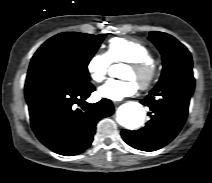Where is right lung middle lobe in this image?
<instances>
[{"label":"right lung middle lobe","mask_w":212,"mask_h":183,"mask_svg":"<svg viewBox=\"0 0 212 183\" xmlns=\"http://www.w3.org/2000/svg\"><path fill=\"white\" fill-rule=\"evenodd\" d=\"M105 36L73 32L53 36L34 54L26 80L89 82L87 66Z\"/></svg>","instance_id":"dd1d6c3e"}]
</instances>
